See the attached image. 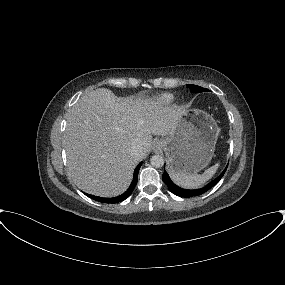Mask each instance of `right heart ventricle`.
<instances>
[{"label":"right heart ventricle","mask_w":285,"mask_h":285,"mask_svg":"<svg viewBox=\"0 0 285 285\" xmlns=\"http://www.w3.org/2000/svg\"><path fill=\"white\" fill-rule=\"evenodd\" d=\"M159 100L163 104H170L173 101V96L169 94H164L159 98Z\"/></svg>","instance_id":"right-heart-ventricle-1"}]
</instances>
